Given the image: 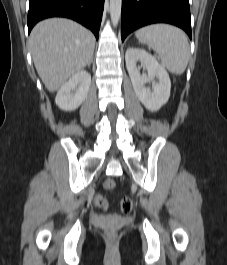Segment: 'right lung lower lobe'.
Listing matches in <instances>:
<instances>
[{"label":"right lung lower lobe","instance_id":"98d812e1","mask_svg":"<svg viewBox=\"0 0 227 265\" xmlns=\"http://www.w3.org/2000/svg\"><path fill=\"white\" fill-rule=\"evenodd\" d=\"M28 32L48 17L71 18L89 28L98 39L104 0H29Z\"/></svg>","mask_w":227,"mask_h":265}]
</instances>
